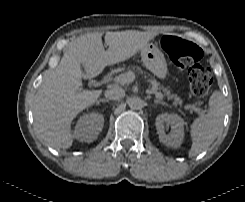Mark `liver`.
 Segmentation results:
<instances>
[{
  "instance_id": "1",
  "label": "liver",
  "mask_w": 245,
  "mask_h": 202,
  "mask_svg": "<svg viewBox=\"0 0 245 202\" xmlns=\"http://www.w3.org/2000/svg\"><path fill=\"white\" fill-rule=\"evenodd\" d=\"M156 35L134 30L107 32L106 51L101 33H89L71 41L34 98V124L43 141L55 149L71 147L72 121L102 94L101 90L82 91V78L92 79L105 67L130 59Z\"/></svg>"
}]
</instances>
